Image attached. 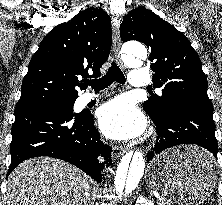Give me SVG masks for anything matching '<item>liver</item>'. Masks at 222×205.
Returning a JSON list of instances; mask_svg holds the SVG:
<instances>
[{
	"label": "liver",
	"mask_w": 222,
	"mask_h": 205,
	"mask_svg": "<svg viewBox=\"0 0 222 205\" xmlns=\"http://www.w3.org/2000/svg\"><path fill=\"white\" fill-rule=\"evenodd\" d=\"M89 177L51 157H37L17 166L7 180L5 205H83Z\"/></svg>",
	"instance_id": "obj_1"
}]
</instances>
